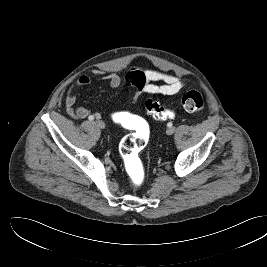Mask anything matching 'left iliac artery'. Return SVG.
<instances>
[{
  "label": "left iliac artery",
  "mask_w": 267,
  "mask_h": 267,
  "mask_svg": "<svg viewBox=\"0 0 267 267\" xmlns=\"http://www.w3.org/2000/svg\"><path fill=\"white\" fill-rule=\"evenodd\" d=\"M172 125H173V124H172L171 122H169V123L167 124L168 127H172Z\"/></svg>",
  "instance_id": "44dca946"
}]
</instances>
